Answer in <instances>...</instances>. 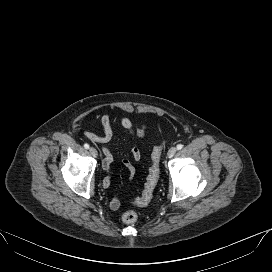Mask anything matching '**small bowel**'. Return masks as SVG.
Here are the masks:
<instances>
[{"instance_id": "1", "label": "small bowel", "mask_w": 272, "mask_h": 272, "mask_svg": "<svg viewBox=\"0 0 272 272\" xmlns=\"http://www.w3.org/2000/svg\"><path fill=\"white\" fill-rule=\"evenodd\" d=\"M100 123L103 128L102 135H97V134H95L91 131H88V130H84L83 135L88 140H90L94 143L103 145L102 151L104 154V158H103L102 164H103L104 169L109 170L110 165L113 162V158H114L111 150L107 146H105L106 144H108L112 141L113 136H114L113 129L111 126L110 115L108 113L103 114L100 118ZM120 124L123 127V129H125L128 132V134L133 138L141 139L145 135L146 126L144 124L138 125V124L134 123L127 116L120 117ZM131 156L134 161H139L141 159V152L137 146L132 147ZM122 164L128 171L129 180H132L135 175V167H134L133 163L128 159H124L122 161ZM109 186H110V176H107L103 180V187L106 189ZM109 206L113 210L118 209L120 206L119 199L117 197L111 198V200L109 202Z\"/></svg>"}]
</instances>
